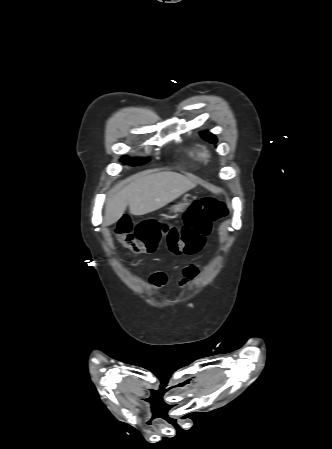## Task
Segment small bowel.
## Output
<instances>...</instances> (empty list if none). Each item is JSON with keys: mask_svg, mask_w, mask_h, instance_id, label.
Masks as SVG:
<instances>
[{"mask_svg": "<svg viewBox=\"0 0 332 449\" xmlns=\"http://www.w3.org/2000/svg\"><path fill=\"white\" fill-rule=\"evenodd\" d=\"M184 279L181 281V285L187 281L194 279L198 274V268L194 264L186 265L183 269ZM167 283V276L163 271H156L151 274L149 278V285L153 289H158L165 286Z\"/></svg>", "mask_w": 332, "mask_h": 449, "instance_id": "obj_1", "label": "small bowel"}]
</instances>
